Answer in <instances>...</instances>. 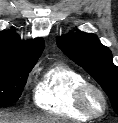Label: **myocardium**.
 <instances>
[{
	"label": "myocardium",
	"instance_id": "f54148a6",
	"mask_svg": "<svg viewBox=\"0 0 118 123\" xmlns=\"http://www.w3.org/2000/svg\"><path fill=\"white\" fill-rule=\"evenodd\" d=\"M91 93L97 94L102 102V108L98 112L94 111L93 108L90 106L89 96ZM75 102L78 110L89 118L102 117L103 115H105L108 109V101L103 90L98 86L88 82L80 86L77 90Z\"/></svg>",
	"mask_w": 118,
	"mask_h": 123
}]
</instances>
